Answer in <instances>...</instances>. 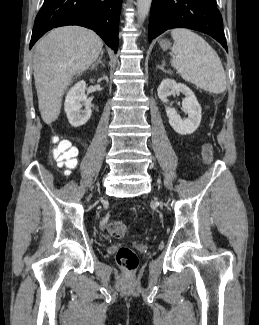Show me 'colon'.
<instances>
[{"mask_svg": "<svg viewBox=\"0 0 259 325\" xmlns=\"http://www.w3.org/2000/svg\"><path fill=\"white\" fill-rule=\"evenodd\" d=\"M52 155L57 164L64 168L67 174L76 166L77 152L66 140L54 139ZM203 157L207 163L212 162L213 150L211 146L208 145L204 148ZM104 225L108 234L114 238H122L126 234V225L122 221L106 219ZM116 260L118 265L126 271H133L138 265L136 253L127 246H122L118 249Z\"/></svg>", "mask_w": 259, "mask_h": 325, "instance_id": "colon-1", "label": "colon"}]
</instances>
